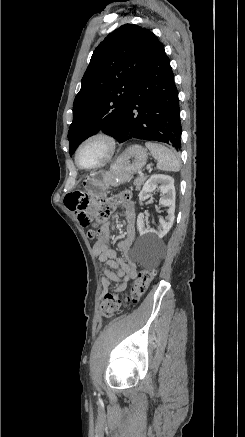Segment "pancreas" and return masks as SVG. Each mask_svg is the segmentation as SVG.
I'll return each mask as SVG.
<instances>
[{
    "instance_id": "pancreas-1",
    "label": "pancreas",
    "mask_w": 245,
    "mask_h": 437,
    "mask_svg": "<svg viewBox=\"0 0 245 437\" xmlns=\"http://www.w3.org/2000/svg\"><path fill=\"white\" fill-rule=\"evenodd\" d=\"M147 179V176H139L136 178L133 182L134 186L136 187V190H140L141 186L144 184L145 180Z\"/></svg>"
}]
</instances>
